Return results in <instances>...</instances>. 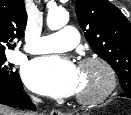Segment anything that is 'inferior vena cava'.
<instances>
[{
    "label": "inferior vena cava",
    "mask_w": 131,
    "mask_h": 115,
    "mask_svg": "<svg viewBox=\"0 0 131 115\" xmlns=\"http://www.w3.org/2000/svg\"><path fill=\"white\" fill-rule=\"evenodd\" d=\"M32 101H33L34 103H39V102H41V100H40V99L35 98V97H32ZM25 115H34V113H33V112H31V113H27V114H25Z\"/></svg>",
    "instance_id": "1"
}]
</instances>
